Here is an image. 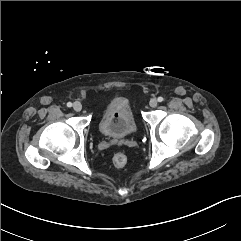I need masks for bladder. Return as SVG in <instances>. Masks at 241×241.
Masks as SVG:
<instances>
[{
  "label": "bladder",
  "mask_w": 241,
  "mask_h": 241,
  "mask_svg": "<svg viewBox=\"0 0 241 241\" xmlns=\"http://www.w3.org/2000/svg\"><path fill=\"white\" fill-rule=\"evenodd\" d=\"M99 132L112 139H126L136 132V122L129 101L115 97L108 104L98 123Z\"/></svg>",
  "instance_id": "bladder-1"
}]
</instances>
